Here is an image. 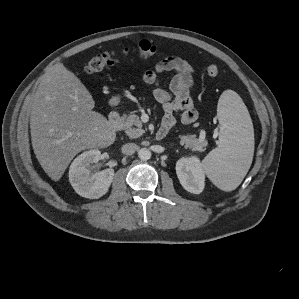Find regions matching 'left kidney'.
I'll list each match as a JSON object with an SVG mask.
<instances>
[{
    "mask_svg": "<svg viewBox=\"0 0 299 299\" xmlns=\"http://www.w3.org/2000/svg\"><path fill=\"white\" fill-rule=\"evenodd\" d=\"M176 174L185 190L200 194L205 186V173L200 160L195 157L181 158L176 163Z\"/></svg>",
    "mask_w": 299,
    "mask_h": 299,
    "instance_id": "obj_1",
    "label": "left kidney"
}]
</instances>
